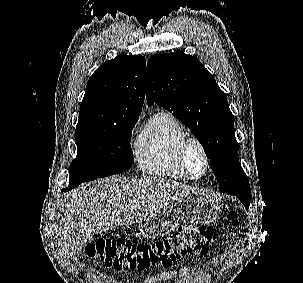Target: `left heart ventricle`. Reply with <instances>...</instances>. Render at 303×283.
<instances>
[{"label":"left heart ventricle","mask_w":303,"mask_h":283,"mask_svg":"<svg viewBox=\"0 0 303 283\" xmlns=\"http://www.w3.org/2000/svg\"><path fill=\"white\" fill-rule=\"evenodd\" d=\"M188 163L192 173L200 175L204 170V161L200 151L196 147H191L188 153Z\"/></svg>","instance_id":"1"}]
</instances>
